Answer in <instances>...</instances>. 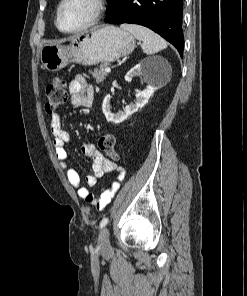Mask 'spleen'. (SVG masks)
<instances>
[{"label":"spleen","instance_id":"spleen-1","mask_svg":"<svg viewBox=\"0 0 247 296\" xmlns=\"http://www.w3.org/2000/svg\"><path fill=\"white\" fill-rule=\"evenodd\" d=\"M121 29L131 33L142 41V49L147 55H152L167 48L166 41L152 30L136 24H122Z\"/></svg>","mask_w":247,"mask_h":296}]
</instances>
